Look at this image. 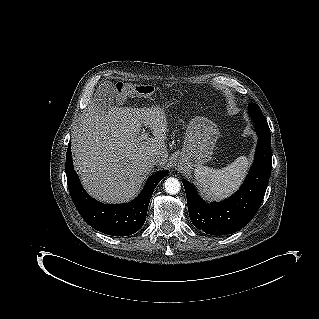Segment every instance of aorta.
Listing matches in <instances>:
<instances>
[{"label": "aorta", "mask_w": 319, "mask_h": 319, "mask_svg": "<svg viewBox=\"0 0 319 319\" xmlns=\"http://www.w3.org/2000/svg\"><path fill=\"white\" fill-rule=\"evenodd\" d=\"M164 187H165L166 193L170 195H175L179 193L181 189L179 180L174 177L167 178L164 182Z\"/></svg>", "instance_id": "aorta-1"}]
</instances>
